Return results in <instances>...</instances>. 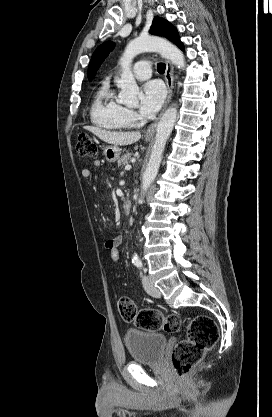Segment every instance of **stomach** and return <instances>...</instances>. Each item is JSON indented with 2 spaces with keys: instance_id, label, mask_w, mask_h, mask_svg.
<instances>
[{
  "instance_id": "0dacf381",
  "label": "stomach",
  "mask_w": 272,
  "mask_h": 417,
  "mask_svg": "<svg viewBox=\"0 0 272 417\" xmlns=\"http://www.w3.org/2000/svg\"><path fill=\"white\" fill-rule=\"evenodd\" d=\"M150 139V137H146L147 141H149ZM120 153L121 149L118 145H107L103 148V155L105 156V159L110 163H113L116 160H118L120 157Z\"/></svg>"
}]
</instances>
